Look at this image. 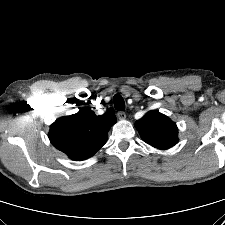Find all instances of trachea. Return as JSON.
Returning <instances> with one entry per match:
<instances>
[{
  "label": "trachea",
  "instance_id": "1",
  "mask_svg": "<svg viewBox=\"0 0 225 225\" xmlns=\"http://www.w3.org/2000/svg\"><path fill=\"white\" fill-rule=\"evenodd\" d=\"M114 106L116 110L124 111L125 109V102L123 97L120 94H116L114 96Z\"/></svg>",
  "mask_w": 225,
  "mask_h": 225
}]
</instances>
